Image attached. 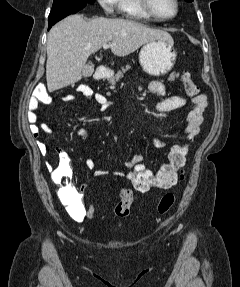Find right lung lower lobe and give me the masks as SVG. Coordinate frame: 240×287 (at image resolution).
Here are the masks:
<instances>
[{
    "label": "right lung lower lobe",
    "mask_w": 240,
    "mask_h": 287,
    "mask_svg": "<svg viewBox=\"0 0 240 287\" xmlns=\"http://www.w3.org/2000/svg\"><path fill=\"white\" fill-rule=\"evenodd\" d=\"M66 16H68V15H66ZM66 16H61V17H58V18H55V19L51 20V21L49 22V28H48V30H49L56 22H58L59 20L63 19V18L66 17Z\"/></svg>",
    "instance_id": "98d812e1"
}]
</instances>
